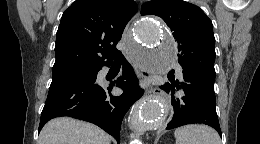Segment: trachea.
<instances>
[{"mask_svg":"<svg viewBox=\"0 0 260 144\" xmlns=\"http://www.w3.org/2000/svg\"><path fill=\"white\" fill-rule=\"evenodd\" d=\"M114 62H115V63H120V60L116 59Z\"/></svg>","mask_w":260,"mask_h":144,"instance_id":"obj_1","label":"trachea"}]
</instances>
